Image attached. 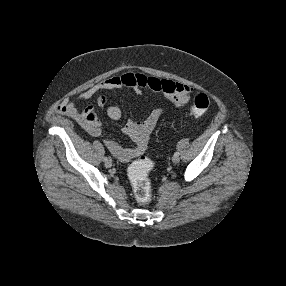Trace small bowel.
Instances as JSON below:
<instances>
[{
    "label": "small bowel",
    "instance_id": "c3829d8e",
    "mask_svg": "<svg viewBox=\"0 0 286 286\" xmlns=\"http://www.w3.org/2000/svg\"><path fill=\"white\" fill-rule=\"evenodd\" d=\"M123 88L132 89L135 94L141 95L143 90L162 93L169 98L175 108L180 109L188 104L192 89L183 83L166 78L146 76L138 72H125L114 75L93 85L74 100H66L59 108L60 112L73 120L93 137H104V144L117 159L128 162L142 154L147 146L152 132L158 120L165 113L163 108H155L142 121L128 120L123 127V132L133 141V146L123 147L112 139L106 137L101 122L99 121L93 107L88 106L79 110L78 104L91 99L101 90H119ZM106 99L100 97L99 105H104ZM107 115L112 120L121 118L122 110L119 104L114 103L107 108Z\"/></svg>",
    "mask_w": 286,
    "mask_h": 286
}]
</instances>
